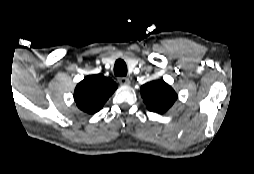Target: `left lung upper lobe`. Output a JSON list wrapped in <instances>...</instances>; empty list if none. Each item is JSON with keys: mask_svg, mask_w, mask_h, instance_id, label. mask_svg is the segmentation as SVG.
Listing matches in <instances>:
<instances>
[{"mask_svg": "<svg viewBox=\"0 0 254 174\" xmlns=\"http://www.w3.org/2000/svg\"><path fill=\"white\" fill-rule=\"evenodd\" d=\"M141 96L149 111L164 113L176 101L177 94L163 80L151 81L141 86Z\"/></svg>", "mask_w": 254, "mask_h": 174, "instance_id": "left-lung-upper-lobe-1", "label": "left lung upper lobe"}]
</instances>
